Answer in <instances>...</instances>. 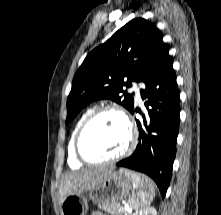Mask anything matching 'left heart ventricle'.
<instances>
[{
    "mask_svg": "<svg viewBox=\"0 0 221 215\" xmlns=\"http://www.w3.org/2000/svg\"><path fill=\"white\" fill-rule=\"evenodd\" d=\"M127 137L122 119L113 112H106L88 126L82 139V148L89 158L105 159L123 150Z\"/></svg>",
    "mask_w": 221,
    "mask_h": 215,
    "instance_id": "1",
    "label": "left heart ventricle"
}]
</instances>
